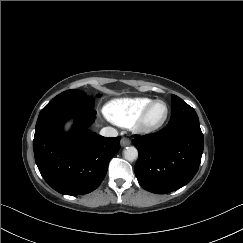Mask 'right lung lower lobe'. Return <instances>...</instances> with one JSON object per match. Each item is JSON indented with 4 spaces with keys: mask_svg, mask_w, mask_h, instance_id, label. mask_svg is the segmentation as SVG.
<instances>
[{
    "mask_svg": "<svg viewBox=\"0 0 243 243\" xmlns=\"http://www.w3.org/2000/svg\"><path fill=\"white\" fill-rule=\"evenodd\" d=\"M76 117V128L63 131ZM94 109L55 105L42 109L35 128L34 155L47 184L65 195L95 190L105 177L108 164L119 151L120 137L107 138L88 129Z\"/></svg>",
    "mask_w": 243,
    "mask_h": 243,
    "instance_id": "obj_1",
    "label": "right lung lower lobe"
}]
</instances>
